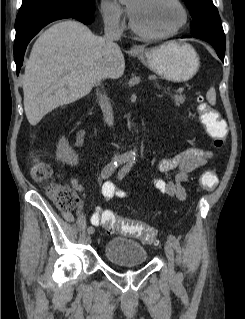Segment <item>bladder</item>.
Here are the masks:
<instances>
[{
	"mask_svg": "<svg viewBox=\"0 0 245 319\" xmlns=\"http://www.w3.org/2000/svg\"><path fill=\"white\" fill-rule=\"evenodd\" d=\"M106 260L122 267L143 264L148 259L146 248L136 240L126 237H114L104 246Z\"/></svg>",
	"mask_w": 245,
	"mask_h": 319,
	"instance_id": "bladder-1",
	"label": "bladder"
}]
</instances>
